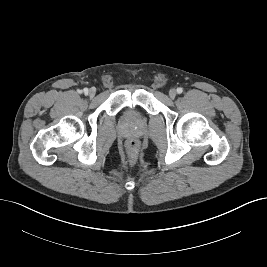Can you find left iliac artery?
<instances>
[{
  "label": "left iliac artery",
  "instance_id": "44dca946",
  "mask_svg": "<svg viewBox=\"0 0 267 267\" xmlns=\"http://www.w3.org/2000/svg\"><path fill=\"white\" fill-rule=\"evenodd\" d=\"M183 92V89L181 87L177 88V93L181 94Z\"/></svg>",
  "mask_w": 267,
  "mask_h": 267
}]
</instances>
